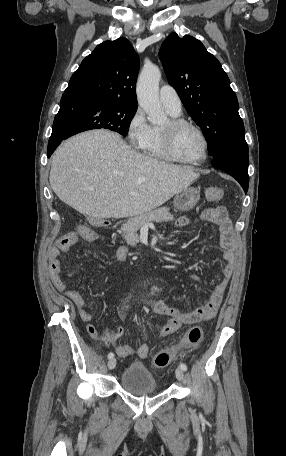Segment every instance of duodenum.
<instances>
[{
	"label": "duodenum",
	"mask_w": 286,
	"mask_h": 456,
	"mask_svg": "<svg viewBox=\"0 0 286 456\" xmlns=\"http://www.w3.org/2000/svg\"><path fill=\"white\" fill-rule=\"evenodd\" d=\"M97 221L101 226H106V224L108 223L106 219L102 218L97 219Z\"/></svg>",
	"instance_id": "1"
}]
</instances>
